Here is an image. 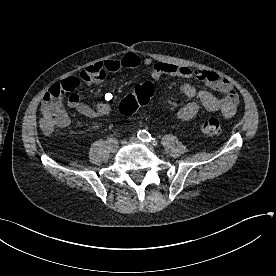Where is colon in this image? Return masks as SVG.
I'll return each instance as SVG.
<instances>
[{
    "mask_svg": "<svg viewBox=\"0 0 276 276\" xmlns=\"http://www.w3.org/2000/svg\"><path fill=\"white\" fill-rule=\"evenodd\" d=\"M80 85L77 80H62L54 84L48 91L47 105L42 110L41 129L50 134L64 128L68 124V118L64 112L61 99L66 93H72ZM155 94V87L150 82H144L135 87L133 93L126 95L119 104V110L124 115L135 113L139 107L148 104ZM202 133L207 135H219L222 132V124L217 118H210L200 125Z\"/></svg>",
    "mask_w": 276,
    "mask_h": 276,
    "instance_id": "colon-1",
    "label": "colon"
}]
</instances>
